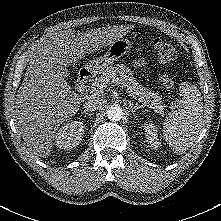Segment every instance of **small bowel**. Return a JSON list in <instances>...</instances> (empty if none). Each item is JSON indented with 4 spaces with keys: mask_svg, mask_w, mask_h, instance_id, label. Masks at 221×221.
Segmentation results:
<instances>
[{
    "mask_svg": "<svg viewBox=\"0 0 221 221\" xmlns=\"http://www.w3.org/2000/svg\"><path fill=\"white\" fill-rule=\"evenodd\" d=\"M136 66L143 67V66H145V62L142 59H140V60L136 61Z\"/></svg>",
    "mask_w": 221,
    "mask_h": 221,
    "instance_id": "obj_1",
    "label": "small bowel"
}]
</instances>
